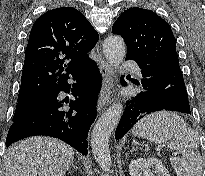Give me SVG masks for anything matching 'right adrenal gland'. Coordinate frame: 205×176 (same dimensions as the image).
Segmentation results:
<instances>
[{
    "mask_svg": "<svg viewBox=\"0 0 205 176\" xmlns=\"http://www.w3.org/2000/svg\"><path fill=\"white\" fill-rule=\"evenodd\" d=\"M72 167H73L74 169H78V167L75 166L74 164L71 165V168H72Z\"/></svg>",
    "mask_w": 205,
    "mask_h": 176,
    "instance_id": "right-adrenal-gland-1",
    "label": "right adrenal gland"
}]
</instances>
